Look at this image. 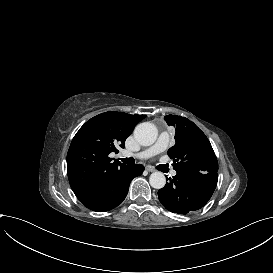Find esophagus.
Listing matches in <instances>:
<instances>
[{
    "mask_svg": "<svg viewBox=\"0 0 273 273\" xmlns=\"http://www.w3.org/2000/svg\"><path fill=\"white\" fill-rule=\"evenodd\" d=\"M145 170L148 171V172H155V171H156L155 168L149 167V166H146V167H145Z\"/></svg>",
    "mask_w": 273,
    "mask_h": 273,
    "instance_id": "1",
    "label": "esophagus"
}]
</instances>
